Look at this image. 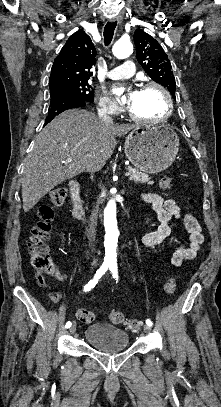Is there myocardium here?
I'll use <instances>...</instances> for the list:
<instances>
[{
	"label": "myocardium",
	"mask_w": 221,
	"mask_h": 407,
	"mask_svg": "<svg viewBox=\"0 0 221 407\" xmlns=\"http://www.w3.org/2000/svg\"><path fill=\"white\" fill-rule=\"evenodd\" d=\"M151 88L158 89L164 95L165 100H166L165 114L162 117L157 118V119H145V118L138 117L130 108H128V113H129L130 117L137 123L160 124V123L167 121L173 112V99H172V95H171L170 91L166 87H164L162 84H159L157 82L145 83L141 86L140 90H148Z\"/></svg>",
	"instance_id": "myocardium-1"
}]
</instances>
